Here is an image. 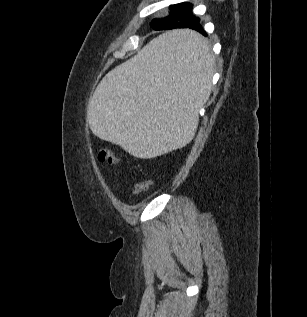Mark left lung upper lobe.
Masks as SVG:
<instances>
[{
	"instance_id": "1",
	"label": "left lung upper lobe",
	"mask_w": 307,
	"mask_h": 317,
	"mask_svg": "<svg viewBox=\"0 0 307 317\" xmlns=\"http://www.w3.org/2000/svg\"><path fill=\"white\" fill-rule=\"evenodd\" d=\"M193 17L192 4L178 3L170 6L169 16L156 21H168L172 28H176L181 24L188 23Z\"/></svg>"
}]
</instances>
